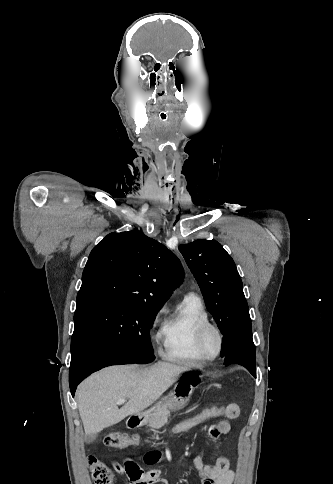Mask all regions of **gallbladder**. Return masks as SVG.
I'll return each instance as SVG.
<instances>
[{
    "label": "gallbladder",
    "instance_id": "1",
    "mask_svg": "<svg viewBox=\"0 0 333 484\" xmlns=\"http://www.w3.org/2000/svg\"><path fill=\"white\" fill-rule=\"evenodd\" d=\"M96 438V434L86 435L85 440L91 442Z\"/></svg>",
    "mask_w": 333,
    "mask_h": 484
}]
</instances>
